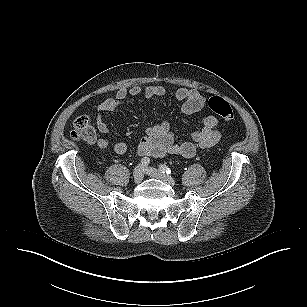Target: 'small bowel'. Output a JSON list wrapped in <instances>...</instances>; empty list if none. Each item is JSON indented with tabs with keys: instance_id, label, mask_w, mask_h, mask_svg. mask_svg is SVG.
I'll return each instance as SVG.
<instances>
[{
	"instance_id": "obj_1",
	"label": "small bowel",
	"mask_w": 307,
	"mask_h": 307,
	"mask_svg": "<svg viewBox=\"0 0 307 307\" xmlns=\"http://www.w3.org/2000/svg\"><path fill=\"white\" fill-rule=\"evenodd\" d=\"M144 95L146 98H158L166 94L162 86L152 85L142 88L138 85L130 88L122 87L115 97L108 98L98 105L97 128L102 134H109L110 130L104 120V115L119 109L123 101L128 97H138ZM174 97L182 102V112L185 115H192L207 110L205 97L194 89L179 88L175 91ZM221 138L219 131V121L212 115L207 114L202 120V127L191 133V140L175 143L169 124L160 121L152 124L146 135L140 140L137 147L138 154L143 158H159L167 154H174L185 158H190L200 149L210 148L216 145ZM96 145L101 150H107L109 143L106 139H98ZM115 153L124 154L127 151L125 142H117L113 147Z\"/></svg>"
}]
</instances>
